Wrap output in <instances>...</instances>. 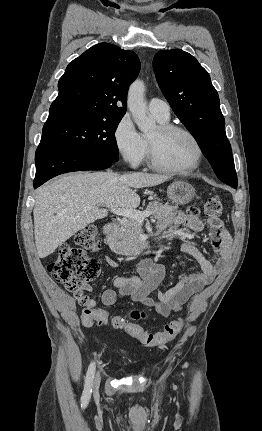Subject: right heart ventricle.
Masks as SVG:
<instances>
[{
	"instance_id": "e07e8e85",
	"label": "right heart ventricle",
	"mask_w": 262,
	"mask_h": 431,
	"mask_svg": "<svg viewBox=\"0 0 262 431\" xmlns=\"http://www.w3.org/2000/svg\"><path fill=\"white\" fill-rule=\"evenodd\" d=\"M154 116V115H153ZM155 117V119L160 123V124H165V123H167L168 122V119H166V120H162V119H159V118H157L156 116H154Z\"/></svg>"
}]
</instances>
